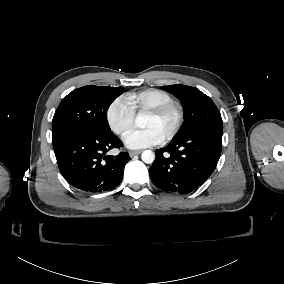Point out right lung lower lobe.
I'll use <instances>...</instances> for the list:
<instances>
[{
    "mask_svg": "<svg viewBox=\"0 0 284 284\" xmlns=\"http://www.w3.org/2000/svg\"><path fill=\"white\" fill-rule=\"evenodd\" d=\"M123 146L112 132L71 131L53 140L61 174L76 189L102 193L117 187L122 180L128 153L107 155L112 148Z\"/></svg>",
    "mask_w": 284,
    "mask_h": 284,
    "instance_id": "obj_1",
    "label": "right lung lower lobe"
}]
</instances>
